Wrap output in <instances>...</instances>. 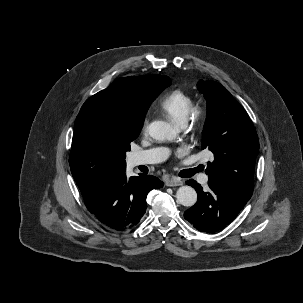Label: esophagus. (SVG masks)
Returning <instances> with one entry per match:
<instances>
[{
  "label": "esophagus",
  "instance_id": "1",
  "mask_svg": "<svg viewBox=\"0 0 303 303\" xmlns=\"http://www.w3.org/2000/svg\"><path fill=\"white\" fill-rule=\"evenodd\" d=\"M165 185L168 187L181 186V185H183V181L180 180L179 178H172V179H168L165 182Z\"/></svg>",
  "mask_w": 303,
  "mask_h": 303
}]
</instances>
